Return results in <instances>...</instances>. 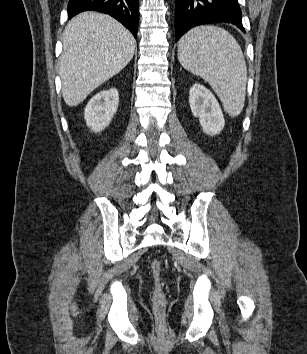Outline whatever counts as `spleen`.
I'll return each mask as SVG.
<instances>
[{
  "instance_id": "1",
  "label": "spleen",
  "mask_w": 307,
  "mask_h": 354,
  "mask_svg": "<svg viewBox=\"0 0 307 354\" xmlns=\"http://www.w3.org/2000/svg\"><path fill=\"white\" fill-rule=\"evenodd\" d=\"M178 60L211 85L230 116L242 112L247 67L239 44L226 30L215 26L191 29L179 41Z\"/></svg>"
}]
</instances>
